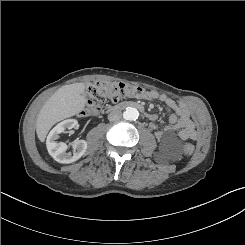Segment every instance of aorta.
Segmentation results:
<instances>
[{
  "instance_id": "obj_1",
  "label": "aorta",
  "mask_w": 245,
  "mask_h": 245,
  "mask_svg": "<svg viewBox=\"0 0 245 245\" xmlns=\"http://www.w3.org/2000/svg\"><path fill=\"white\" fill-rule=\"evenodd\" d=\"M139 116V112L134 107H128L126 111L124 112V118L127 120H136Z\"/></svg>"
}]
</instances>
